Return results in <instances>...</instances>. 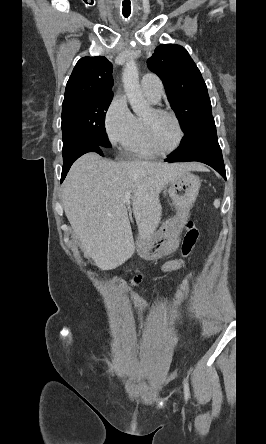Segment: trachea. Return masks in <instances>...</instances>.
Returning a JSON list of instances; mask_svg holds the SVG:
<instances>
[{
  "instance_id": "trachea-1",
  "label": "trachea",
  "mask_w": 266,
  "mask_h": 444,
  "mask_svg": "<svg viewBox=\"0 0 266 444\" xmlns=\"http://www.w3.org/2000/svg\"><path fill=\"white\" fill-rule=\"evenodd\" d=\"M122 13H123V16L125 18H128L130 16V13H131L130 2L123 3V11H122Z\"/></svg>"
}]
</instances>
